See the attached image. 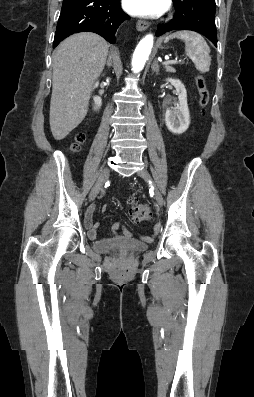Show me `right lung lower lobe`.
<instances>
[{
    "mask_svg": "<svg viewBox=\"0 0 254 397\" xmlns=\"http://www.w3.org/2000/svg\"><path fill=\"white\" fill-rule=\"evenodd\" d=\"M129 19L119 0H63L53 47L66 37L83 31L95 32L115 43L117 29Z\"/></svg>",
    "mask_w": 254,
    "mask_h": 397,
    "instance_id": "1",
    "label": "right lung lower lobe"
}]
</instances>
